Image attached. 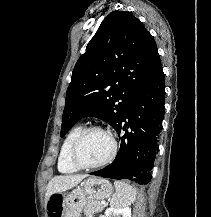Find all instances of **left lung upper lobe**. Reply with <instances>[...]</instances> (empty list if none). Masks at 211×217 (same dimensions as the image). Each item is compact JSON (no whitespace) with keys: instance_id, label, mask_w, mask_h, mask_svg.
<instances>
[{"instance_id":"left-lung-upper-lobe-1","label":"left lung upper lobe","mask_w":211,"mask_h":217,"mask_svg":"<svg viewBox=\"0 0 211 217\" xmlns=\"http://www.w3.org/2000/svg\"><path fill=\"white\" fill-rule=\"evenodd\" d=\"M161 68L155 40L142 22L128 11L108 14L74 67L60 136L87 116L115 128L135 93Z\"/></svg>"}]
</instances>
